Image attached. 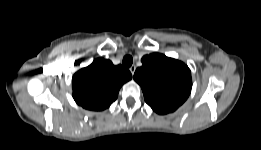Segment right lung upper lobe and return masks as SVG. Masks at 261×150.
Returning a JSON list of instances; mask_svg holds the SVG:
<instances>
[{
    "mask_svg": "<svg viewBox=\"0 0 261 150\" xmlns=\"http://www.w3.org/2000/svg\"><path fill=\"white\" fill-rule=\"evenodd\" d=\"M131 78L132 75L126 68L98 58L74 74L73 98L85 109L104 110L117 99L120 87Z\"/></svg>",
    "mask_w": 261,
    "mask_h": 150,
    "instance_id": "1",
    "label": "right lung upper lobe"
}]
</instances>
